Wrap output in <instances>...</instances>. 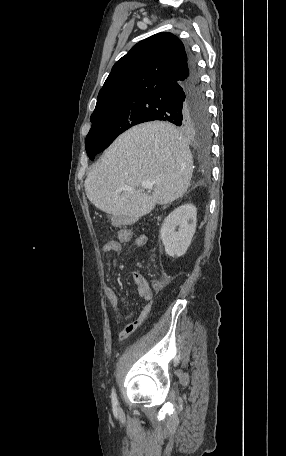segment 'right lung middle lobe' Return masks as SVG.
<instances>
[{"label": "right lung middle lobe", "instance_id": "1", "mask_svg": "<svg viewBox=\"0 0 286 456\" xmlns=\"http://www.w3.org/2000/svg\"><path fill=\"white\" fill-rule=\"evenodd\" d=\"M143 106L138 96L115 100L98 110L90 117L92 127L85 139L86 152L91 160L106 149L118 136L130 127L143 122ZM194 130L204 138L210 133L209 116L194 125Z\"/></svg>", "mask_w": 286, "mask_h": 456}]
</instances>
